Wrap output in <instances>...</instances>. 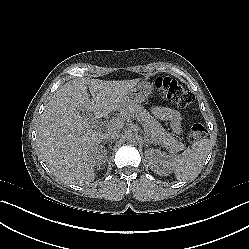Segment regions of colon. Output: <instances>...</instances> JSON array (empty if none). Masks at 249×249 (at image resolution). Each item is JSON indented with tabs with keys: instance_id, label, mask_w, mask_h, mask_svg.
<instances>
[{
	"instance_id": "5ec220e1",
	"label": "colon",
	"mask_w": 249,
	"mask_h": 249,
	"mask_svg": "<svg viewBox=\"0 0 249 249\" xmlns=\"http://www.w3.org/2000/svg\"><path fill=\"white\" fill-rule=\"evenodd\" d=\"M154 84L159 91L180 108H188L195 102V96L175 79L159 77L155 80ZM205 135V128L200 124H195L191 128L188 138L191 141H196Z\"/></svg>"
}]
</instances>
